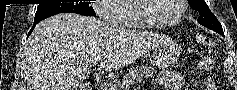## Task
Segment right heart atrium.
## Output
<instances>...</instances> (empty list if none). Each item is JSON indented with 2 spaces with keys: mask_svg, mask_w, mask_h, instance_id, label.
Here are the masks:
<instances>
[{
  "mask_svg": "<svg viewBox=\"0 0 237 90\" xmlns=\"http://www.w3.org/2000/svg\"><path fill=\"white\" fill-rule=\"evenodd\" d=\"M120 3H123V0H96L92 2L90 10L98 12L101 20H114V15L109 13L112 12V8H107V6H119Z\"/></svg>",
  "mask_w": 237,
  "mask_h": 90,
  "instance_id": "obj_1",
  "label": "right heart atrium"
}]
</instances>
